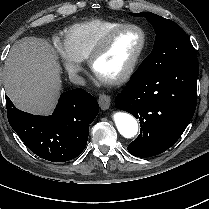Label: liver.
<instances>
[{"instance_id":"1","label":"liver","mask_w":209,"mask_h":209,"mask_svg":"<svg viewBox=\"0 0 209 209\" xmlns=\"http://www.w3.org/2000/svg\"><path fill=\"white\" fill-rule=\"evenodd\" d=\"M4 88L19 109L49 114L61 90L60 65L53 47L43 39L15 42L3 70Z\"/></svg>"}]
</instances>
